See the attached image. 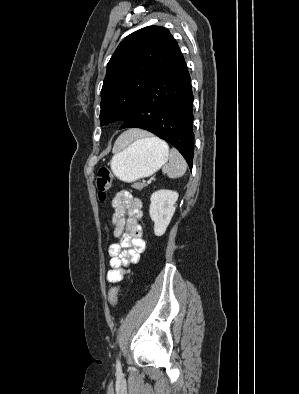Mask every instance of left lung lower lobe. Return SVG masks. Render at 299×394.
Returning a JSON list of instances; mask_svg holds the SVG:
<instances>
[{"instance_id": "obj_1", "label": "left lung lower lobe", "mask_w": 299, "mask_h": 394, "mask_svg": "<svg viewBox=\"0 0 299 394\" xmlns=\"http://www.w3.org/2000/svg\"><path fill=\"white\" fill-rule=\"evenodd\" d=\"M192 107L191 79L181 54L153 81L120 129L141 128L154 133L176 147L192 169Z\"/></svg>"}]
</instances>
